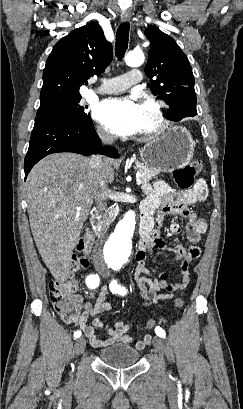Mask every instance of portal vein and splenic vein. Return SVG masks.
<instances>
[{
  "mask_svg": "<svg viewBox=\"0 0 243 409\" xmlns=\"http://www.w3.org/2000/svg\"><path fill=\"white\" fill-rule=\"evenodd\" d=\"M136 183H137V185H141V183H142V181L140 179V174L136 175ZM78 210H79V208H78Z\"/></svg>",
  "mask_w": 243,
  "mask_h": 409,
  "instance_id": "18ae733b",
  "label": "portal vein and splenic vein"
}]
</instances>
